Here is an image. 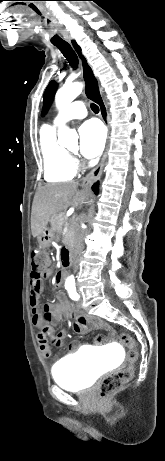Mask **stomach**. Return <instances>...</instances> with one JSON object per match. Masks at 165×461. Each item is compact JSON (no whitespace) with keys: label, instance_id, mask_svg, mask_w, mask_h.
Here are the masks:
<instances>
[{"label":"stomach","instance_id":"1","mask_svg":"<svg viewBox=\"0 0 165 461\" xmlns=\"http://www.w3.org/2000/svg\"><path fill=\"white\" fill-rule=\"evenodd\" d=\"M53 230L50 228H45L44 231L40 234L38 237V242L39 245L42 248H48L51 244V241L53 239Z\"/></svg>","mask_w":165,"mask_h":461}]
</instances>
